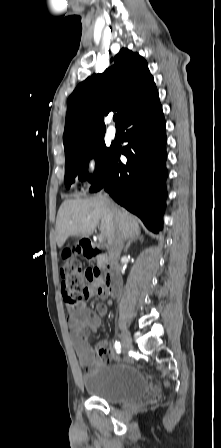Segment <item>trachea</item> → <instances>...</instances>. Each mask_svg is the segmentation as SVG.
I'll list each match as a JSON object with an SVG mask.
<instances>
[{
    "instance_id": "obj_1",
    "label": "trachea",
    "mask_w": 221,
    "mask_h": 448,
    "mask_svg": "<svg viewBox=\"0 0 221 448\" xmlns=\"http://www.w3.org/2000/svg\"><path fill=\"white\" fill-rule=\"evenodd\" d=\"M113 120L116 122V125H118V123H117V115L113 116Z\"/></svg>"
}]
</instances>
